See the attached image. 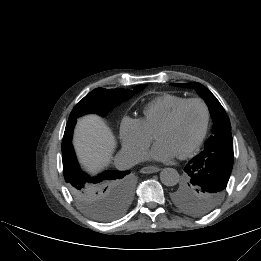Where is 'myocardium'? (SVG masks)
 I'll list each match as a JSON object with an SVG mask.
<instances>
[{
  "mask_svg": "<svg viewBox=\"0 0 261 261\" xmlns=\"http://www.w3.org/2000/svg\"><path fill=\"white\" fill-rule=\"evenodd\" d=\"M192 103H198L202 106V108L204 110V123H203V127H202L201 133L198 136V138L194 141V143L192 145H190L182 153L178 154L179 158H186V157L190 156L193 152H195L202 145V143L205 140V137L207 135V132L209 129V124H210V109H209L208 104L202 98L194 97V98H189V99L185 100L184 102H182L172 112V114L169 116V118L159 127V129L157 130L156 135H155L157 138L158 132H160L163 129L173 126L178 121L183 110Z\"/></svg>",
  "mask_w": 261,
  "mask_h": 261,
  "instance_id": "obj_1",
  "label": "myocardium"
}]
</instances>
